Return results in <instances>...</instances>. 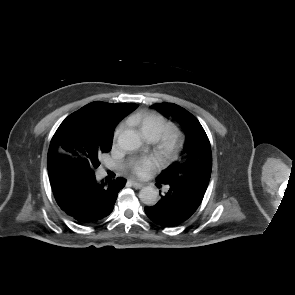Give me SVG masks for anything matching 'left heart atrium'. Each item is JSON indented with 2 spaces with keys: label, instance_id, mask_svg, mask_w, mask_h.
Returning <instances> with one entry per match:
<instances>
[{
  "label": "left heart atrium",
  "instance_id": "1",
  "mask_svg": "<svg viewBox=\"0 0 295 295\" xmlns=\"http://www.w3.org/2000/svg\"><path fill=\"white\" fill-rule=\"evenodd\" d=\"M159 165V159L155 156H146L134 160L130 166L131 172L139 177L144 178L153 172Z\"/></svg>",
  "mask_w": 295,
  "mask_h": 295
}]
</instances>
